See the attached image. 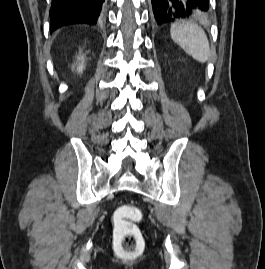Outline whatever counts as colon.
Listing matches in <instances>:
<instances>
[{"instance_id":"obj_1","label":"colon","mask_w":265,"mask_h":269,"mask_svg":"<svg viewBox=\"0 0 265 269\" xmlns=\"http://www.w3.org/2000/svg\"><path fill=\"white\" fill-rule=\"evenodd\" d=\"M141 219L139 209L122 206L117 210V223L114 230V242L124 255L134 256L141 245V233L135 222Z\"/></svg>"}]
</instances>
